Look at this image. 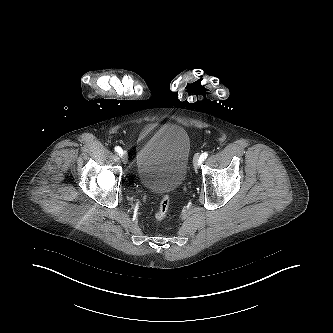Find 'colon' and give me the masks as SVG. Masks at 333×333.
Listing matches in <instances>:
<instances>
[{
  "instance_id": "obj_1",
  "label": "colon",
  "mask_w": 333,
  "mask_h": 333,
  "mask_svg": "<svg viewBox=\"0 0 333 333\" xmlns=\"http://www.w3.org/2000/svg\"><path fill=\"white\" fill-rule=\"evenodd\" d=\"M170 207V197L165 194L161 197L157 210L155 211V219L157 221H163L168 215Z\"/></svg>"
}]
</instances>
